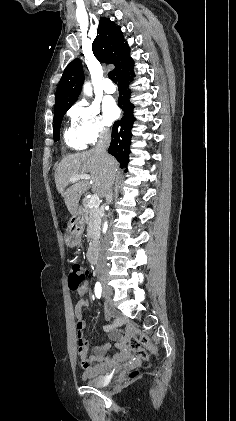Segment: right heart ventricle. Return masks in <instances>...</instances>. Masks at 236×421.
I'll return each mask as SVG.
<instances>
[{
    "instance_id": "right-heart-ventricle-1",
    "label": "right heart ventricle",
    "mask_w": 236,
    "mask_h": 421,
    "mask_svg": "<svg viewBox=\"0 0 236 421\" xmlns=\"http://www.w3.org/2000/svg\"><path fill=\"white\" fill-rule=\"evenodd\" d=\"M64 141L70 150L80 151L87 147V143L77 133L73 126L66 128L64 132Z\"/></svg>"
}]
</instances>
